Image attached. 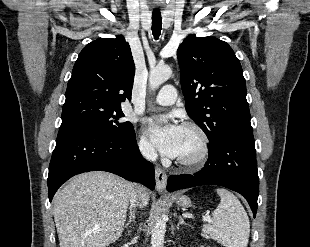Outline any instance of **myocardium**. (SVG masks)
<instances>
[{
	"instance_id": "myocardium-1",
	"label": "myocardium",
	"mask_w": 310,
	"mask_h": 247,
	"mask_svg": "<svg viewBox=\"0 0 310 247\" xmlns=\"http://www.w3.org/2000/svg\"><path fill=\"white\" fill-rule=\"evenodd\" d=\"M182 128L194 131L199 137L200 148L199 151L187 158L177 157L176 162L186 168H195L200 166L208 157L210 152V141L206 131L194 122H186Z\"/></svg>"
}]
</instances>
